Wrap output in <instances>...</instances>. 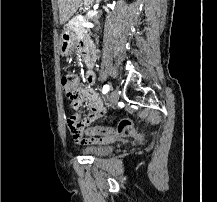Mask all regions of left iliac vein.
Listing matches in <instances>:
<instances>
[{
    "label": "left iliac vein",
    "mask_w": 217,
    "mask_h": 202,
    "mask_svg": "<svg viewBox=\"0 0 217 202\" xmlns=\"http://www.w3.org/2000/svg\"><path fill=\"white\" fill-rule=\"evenodd\" d=\"M110 100H111L113 106L119 101V93L117 90L111 91Z\"/></svg>",
    "instance_id": "left-iliac-vein-1"
}]
</instances>
